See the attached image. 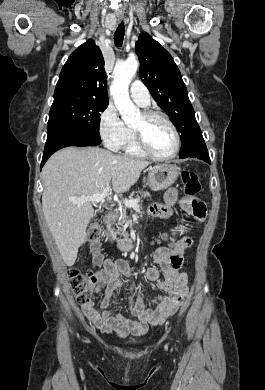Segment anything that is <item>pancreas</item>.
I'll use <instances>...</instances> for the list:
<instances>
[{"mask_svg": "<svg viewBox=\"0 0 265 390\" xmlns=\"http://www.w3.org/2000/svg\"><path fill=\"white\" fill-rule=\"evenodd\" d=\"M139 194H141V196H144V197H149L150 194L149 192L147 191H140ZM130 200H134V197L133 195H131L130 197ZM138 199V198H136ZM127 221V208L126 207H123V208H120V209H116L114 211V220L108 225V229L109 231L111 232V236L116 239V236L117 235H120V236H123L124 239L123 240H118L119 242H129V235L128 233H125V232H121V229H118L117 231H114V228L112 227L113 224H123Z\"/></svg>", "mask_w": 265, "mask_h": 390, "instance_id": "pancreas-1", "label": "pancreas"}]
</instances>
